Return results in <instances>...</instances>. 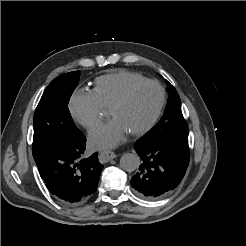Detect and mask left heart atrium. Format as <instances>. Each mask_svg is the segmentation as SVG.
Returning <instances> with one entry per match:
<instances>
[{
    "instance_id": "obj_1",
    "label": "left heart atrium",
    "mask_w": 246,
    "mask_h": 246,
    "mask_svg": "<svg viewBox=\"0 0 246 246\" xmlns=\"http://www.w3.org/2000/svg\"><path fill=\"white\" fill-rule=\"evenodd\" d=\"M127 129L117 119L113 118L106 124L96 128L90 134L89 140L97 149L111 148L117 145L124 137Z\"/></svg>"
}]
</instances>
